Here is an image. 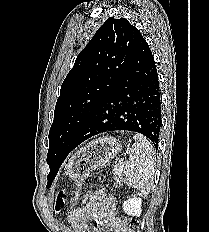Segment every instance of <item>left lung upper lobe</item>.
<instances>
[{
	"label": "left lung upper lobe",
	"mask_w": 209,
	"mask_h": 232,
	"mask_svg": "<svg viewBox=\"0 0 209 232\" xmlns=\"http://www.w3.org/2000/svg\"><path fill=\"white\" fill-rule=\"evenodd\" d=\"M141 37L127 19L110 17L77 56L62 83L49 131V185L79 132L118 84Z\"/></svg>",
	"instance_id": "obj_1"
}]
</instances>
